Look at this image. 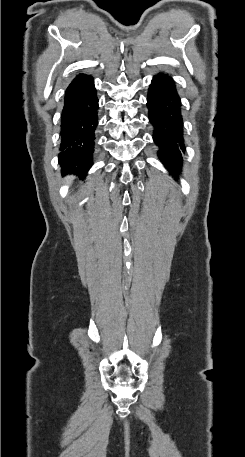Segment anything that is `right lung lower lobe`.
<instances>
[{
	"label": "right lung lower lobe",
	"mask_w": 245,
	"mask_h": 457,
	"mask_svg": "<svg viewBox=\"0 0 245 457\" xmlns=\"http://www.w3.org/2000/svg\"><path fill=\"white\" fill-rule=\"evenodd\" d=\"M98 98L93 78L77 75L69 84L61 114L59 164L63 174L85 178L93 165Z\"/></svg>",
	"instance_id": "obj_1"
}]
</instances>
